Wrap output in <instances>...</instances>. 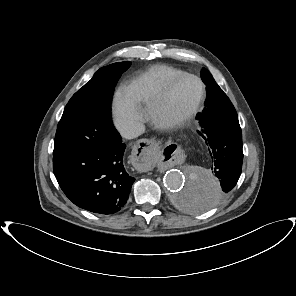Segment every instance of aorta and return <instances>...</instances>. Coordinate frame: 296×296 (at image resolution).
Returning <instances> with one entry per match:
<instances>
[{
	"label": "aorta",
	"instance_id": "aorta-1",
	"mask_svg": "<svg viewBox=\"0 0 296 296\" xmlns=\"http://www.w3.org/2000/svg\"><path fill=\"white\" fill-rule=\"evenodd\" d=\"M164 185L170 205L185 214L207 212L219 198L218 180L203 168L170 170L164 176Z\"/></svg>",
	"mask_w": 296,
	"mask_h": 296
}]
</instances>
